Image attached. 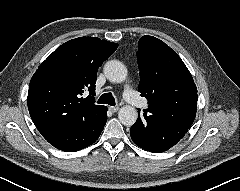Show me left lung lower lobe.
Instances as JSON below:
<instances>
[{"label": "left lung lower lobe", "instance_id": "1", "mask_svg": "<svg viewBox=\"0 0 240 191\" xmlns=\"http://www.w3.org/2000/svg\"><path fill=\"white\" fill-rule=\"evenodd\" d=\"M133 142L150 152H163L177 144L185 135L183 129L162 121H153L144 110L143 117L137 119L130 129Z\"/></svg>", "mask_w": 240, "mask_h": 191}]
</instances>
